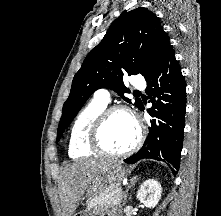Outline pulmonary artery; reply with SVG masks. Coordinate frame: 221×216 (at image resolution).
Returning a JSON list of instances; mask_svg holds the SVG:
<instances>
[{"mask_svg": "<svg viewBox=\"0 0 221 216\" xmlns=\"http://www.w3.org/2000/svg\"><path fill=\"white\" fill-rule=\"evenodd\" d=\"M133 86L138 89H143L146 86L145 80L143 78H136ZM94 99L98 102L108 104L110 102V93L106 89L97 90L94 94Z\"/></svg>", "mask_w": 221, "mask_h": 216, "instance_id": "1", "label": "pulmonary artery"}]
</instances>
